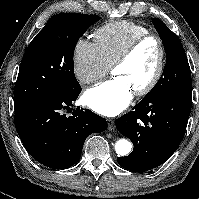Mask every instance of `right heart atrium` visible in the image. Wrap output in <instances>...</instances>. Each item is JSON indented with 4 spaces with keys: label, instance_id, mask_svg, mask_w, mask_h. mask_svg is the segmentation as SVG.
<instances>
[{
    "label": "right heart atrium",
    "instance_id": "d8ad5b80",
    "mask_svg": "<svg viewBox=\"0 0 199 199\" xmlns=\"http://www.w3.org/2000/svg\"><path fill=\"white\" fill-rule=\"evenodd\" d=\"M110 70L95 42L79 39L73 51V71L82 84L93 83Z\"/></svg>",
    "mask_w": 199,
    "mask_h": 199
}]
</instances>
